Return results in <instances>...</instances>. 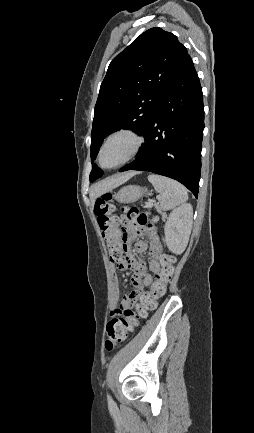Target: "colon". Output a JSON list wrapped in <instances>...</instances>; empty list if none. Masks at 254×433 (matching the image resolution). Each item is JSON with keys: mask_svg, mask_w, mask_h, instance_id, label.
<instances>
[{"mask_svg": "<svg viewBox=\"0 0 254 433\" xmlns=\"http://www.w3.org/2000/svg\"><path fill=\"white\" fill-rule=\"evenodd\" d=\"M112 194L105 193L96 199L94 211L111 261L119 260L125 256L127 250L128 230L125 222L133 227H143L156 223L157 218L141 210L137 206L126 207L121 216H112ZM161 266L155 277L154 285L149 292L141 297L136 311L123 306L106 324L105 348L112 351L121 345L149 310L156 307L157 300L164 296L166 287L175 273V258L172 255L161 256Z\"/></svg>", "mask_w": 254, "mask_h": 433, "instance_id": "1", "label": "colon"}]
</instances>
